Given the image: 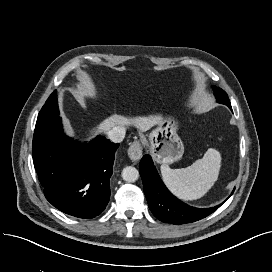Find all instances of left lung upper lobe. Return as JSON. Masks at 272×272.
Masks as SVG:
<instances>
[{
  "label": "left lung upper lobe",
  "instance_id": "left-lung-upper-lobe-1",
  "mask_svg": "<svg viewBox=\"0 0 272 272\" xmlns=\"http://www.w3.org/2000/svg\"><path fill=\"white\" fill-rule=\"evenodd\" d=\"M212 88L215 91L217 102L225 104L228 107H231L227 93L218 87L213 86Z\"/></svg>",
  "mask_w": 272,
  "mask_h": 272
}]
</instances>
